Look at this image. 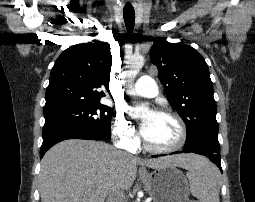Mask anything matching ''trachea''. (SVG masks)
Wrapping results in <instances>:
<instances>
[{
  "mask_svg": "<svg viewBox=\"0 0 255 202\" xmlns=\"http://www.w3.org/2000/svg\"><path fill=\"white\" fill-rule=\"evenodd\" d=\"M123 16L126 28L128 32H132L134 28V21H135V12L133 8H124L123 9Z\"/></svg>",
  "mask_w": 255,
  "mask_h": 202,
  "instance_id": "trachea-1",
  "label": "trachea"
}]
</instances>
